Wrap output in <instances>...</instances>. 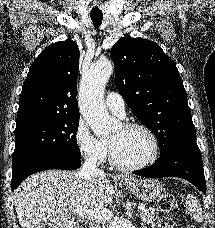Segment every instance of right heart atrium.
Returning <instances> with one entry per match:
<instances>
[{
  "label": "right heart atrium",
  "mask_w": 215,
  "mask_h": 228,
  "mask_svg": "<svg viewBox=\"0 0 215 228\" xmlns=\"http://www.w3.org/2000/svg\"><path fill=\"white\" fill-rule=\"evenodd\" d=\"M73 140L81 158L89 163L101 164L108 157V146L94 135L83 118L77 121Z\"/></svg>",
  "instance_id": "right-heart-atrium-1"
}]
</instances>
